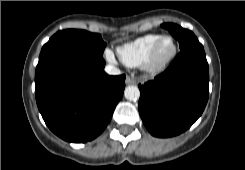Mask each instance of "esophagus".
Masks as SVG:
<instances>
[{
    "instance_id": "34e87169",
    "label": "esophagus",
    "mask_w": 245,
    "mask_h": 170,
    "mask_svg": "<svg viewBox=\"0 0 245 170\" xmlns=\"http://www.w3.org/2000/svg\"><path fill=\"white\" fill-rule=\"evenodd\" d=\"M126 84H135V80L129 76L126 77V80H125Z\"/></svg>"
}]
</instances>
